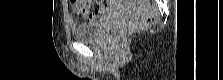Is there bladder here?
<instances>
[{"mask_svg": "<svg viewBox=\"0 0 223 80\" xmlns=\"http://www.w3.org/2000/svg\"><path fill=\"white\" fill-rule=\"evenodd\" d=\"M113 10V8H110L102 16L94 21L73 25V38L78 41L98 40L102 33L104 22L113 14Z\"/></svg>", "mask_w": 223, "mask_h": 80, "instance_id": "31cf9c89", "label": "bladder"}]
</instances>
